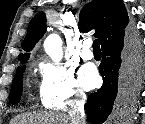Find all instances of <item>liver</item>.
<instances>
[{
	"label": "liver",
	"instance_id": "1",
	"mask_svg": "<svg viewBox=\"0 0 145 124\" xmlns=\"http://www.w3.org/2000/svg\"><path fill=\"white\" fill-rule=\"evenodd\" d=\"M10 124H72L66 115L56 113H26L17 116Z\"/></svg>",
	"mask_w": 145,
	"mask_h": 124
}]
</instances>
